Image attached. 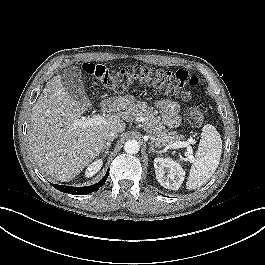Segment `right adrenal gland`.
<instances>
[{"label": "right adrenal gland", "mask_w": 265, "mask_h": 265, "mask_svg": "<svg viewBox=\"0 0 265 265\" xmlns=\"http://www.w3.org/2000/svg\"><path fill=\"white\" fill-rule=\"evenodd\" d=\"M112 142H113V140H109V141H107V142L105 143V145H104V147H103V149H102V153L104 152V154H103V158L105 157L106 154H108L109 149H110V145H111Z\"/></svg>", "instance_id": "right-adrenal-gland-1"}]
</instances>
